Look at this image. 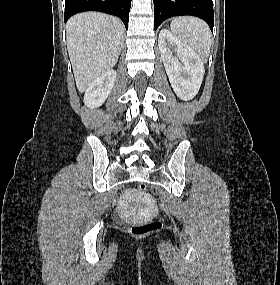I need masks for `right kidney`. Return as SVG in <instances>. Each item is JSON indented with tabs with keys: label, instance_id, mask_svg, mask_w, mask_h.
Here are the masks:
<instances>
[{
	"label": "right kidney",
	"instance_id": "ca27d5eb",
	"mask_svg": "<svg viewBox=\"0 0 280 285\" xmlns=\"http://www.w3.org/2000/svg\"><path fill=\"white\" fill-rule=\"evenodd\" d=\"M115 79V70H109L95 79L85 91L84 104L88 108L100 107L110 94Z\"/></svg>",
	"mask_w": 280,
	"mask_h": 285
}]
</instances>
